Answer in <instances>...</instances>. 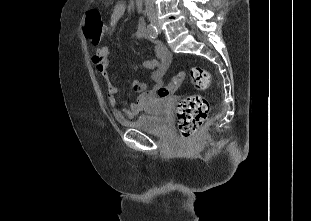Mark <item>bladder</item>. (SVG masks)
Segmentation results:
<instances>
[{"mask_svg":"<svg viewBox=\"0 0 311 221\" xmlns=\"http://www.w3.org/2000/svg\"><path fill=\"white\" fill-rule=\"evenodd\" d=\"M174 97V95H170L169 98H160L154 108H146V113L137 114L126 124L144 134L161 135L166 133L170 124L171 99Z\"/></svg>","mask_w":311,"mask_h":221,"instance_id":"obj_1","label":"bladder"}]
</instances>
